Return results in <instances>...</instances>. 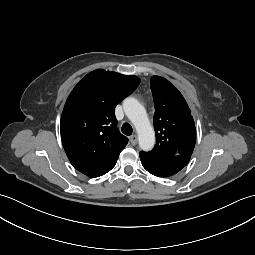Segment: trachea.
Masks as SVG:
<instances>
[{"instance_id":"obj_1","label":"trachea","mask_w":255,"mask_h":255,"mask_svg":"<svg viewBox=\"0 0 255 255\" xmlns=\"http://www.w3.org/2000/svg\"><path fill=\"white\" fill-rule=\"evenodd\" d=\"M122 132L125 134V135H131L132 132H133V129H132V126L129 124V123H124L122 125V128H121Z\"/></svg>"}]
</instances>
